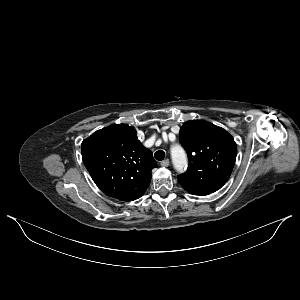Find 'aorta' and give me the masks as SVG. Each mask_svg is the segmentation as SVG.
Listing matches in <instances>:
<instances>
[{
  "label": "aorta",
  "mask_w": 300,
  "mask_h": 300,
  "mask_svg": "<svg viewBox=\"0 0 300 300\" xmlns=\"http://www.w3.org/2000/svg\"><path fill=\"white\" fill-rule=\"evenodd\" d=\"M172 161L178 171H181L187 164V157L183 148L176 145L171 150Z\"/></svg>",
  "instance_id": "obj_1"
}]
</instances>
